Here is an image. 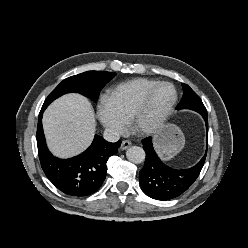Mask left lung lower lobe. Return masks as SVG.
Wrapping results in <instances>:
<instances>
[{"instance_id":"1","label":"left lung lower lobe","mask_w":248,"mask_h":248,"mask_svg":"<svg viewBox=\"0 0 248 248\" xmlns=\"http://www.w3.org/2000/svg\"><path fill=\"white\" fill-rule=\"evenodd\" d=\"M198 113L204 118L208 135L207 111ZM142 143L146 159L144 167L139 172L140 185L146 195L156 200L173 199L185 192L199 176L206 159L205 153L192 168L177 170L168 167L159 159L154 151L151 137L144 139Z\"/></svg>"}]
</instances>
